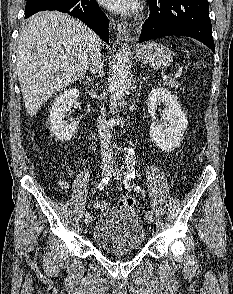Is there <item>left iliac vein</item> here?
I'll return each mask as SVG.
<instances>
[{
    "label": "left iliac vein",
    "instance_id": "1",
    "mask_svg": "<svg viewBox=\"0 0 233 294\" xmlns=\"http://www.w3.org/2000/svg\"><path fill=\"white\" fill-rule=\"evenodd\" d=\"M111 175L117 179V180H120L122 179V177L125 175V172L122 171L121 169H119L118 167H115L113 170H112V173ZM146 220L149 222V223H153V215L151 214H146Z\"/></svg>",
    "mask_w": 233,
    "mask_h": 294
}]
</instances>
